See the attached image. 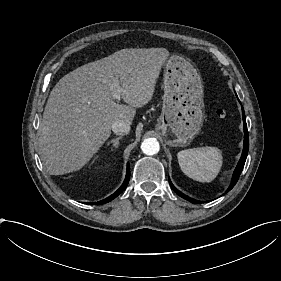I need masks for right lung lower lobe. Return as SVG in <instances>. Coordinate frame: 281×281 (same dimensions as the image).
<instances>
[{
	"mask_svg": "<svg viewBox=\"0 0 281 281\" xmlns=\"http://www.w3.org/2000/svg\"><path fill=\"white\" fill-rule=\"evenodd\" d=\"M129 179H130V166H129V163H128L126 178H125L122 186L115 193H113L111 196L107 197L106 199L98 201V202H94V203H88V204L101 205V204H105L107 202L112 201L114 198H116L126 188L128 182H129Z\"/></svg>",
	"mask_w": 281,
	"mask_h": 281,
	"instance_id": "obj_1",
	"label": "right lung lower lobe"
}]
</instances>
